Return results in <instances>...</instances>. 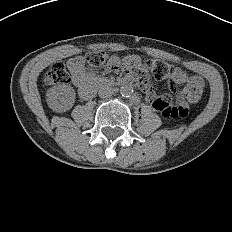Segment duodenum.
<instances>
[{
	"label": "duodenum",
	"instance_id": "1",
	"mask_svg": "<svg viewBox=\"0 0 232 232\" xmlns=\"http://www.w3.org/2000/svg\"><path fill=\"white\" fill-rule=\"evenodd\" d=\"M134 83H136L134 78H124L119 81L97 78L90 81L87 84V86L81 90L80 94L83 98L89 99L95 94L96 90L100 87H121V86L132 85Z\"/></svg>",
	"mask_w": 232,
	"mask_h": 232
}]
</instances>
